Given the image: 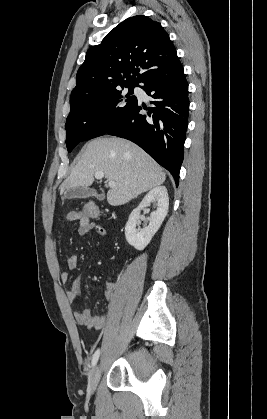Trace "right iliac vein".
<instances>
[{"instance_id":"right-iliac-vein-1","label":"right iliac vein","mask_w":267,"mask_h":419,"mask_svg":"<svg viewBox=\"0 0 267 419\" xmlns=\"http://www.w3.org/2000/svg\"><path fill=\"white\" fill-rule=\"evenodd\" d=\"M100 373H101V366L100 364L95 365V367L92 370L90 379H89V384H88V388L89 391L91 393H94V391L96 390V386L100 377Z\"/></svg>"}]
</instances>
